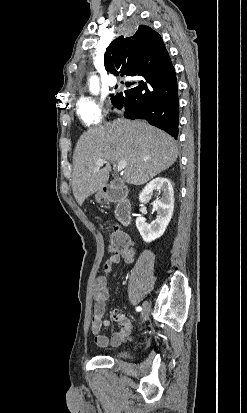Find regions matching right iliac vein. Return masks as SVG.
<instances>
[{
  "instance_id": "obj_1",
  "label": "right iliac vein",
  "mask_w": 247,
  "mask_h": 413,
  "mask_svg": "<svg viewBox=\"0 0 247 413\" xmlns=\"http://www.w3.org/2000/svg\"><path fill=\"white\" fill-rule=\"evenodd\" d=\"M150 312V306L147 302L142 304V312H141V321L140 324L144 323V321L148 318Z\"/></svg>"
}]
</instances>
